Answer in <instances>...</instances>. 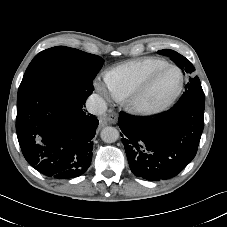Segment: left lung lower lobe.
Segmentation results:
<instances>
[{"label": "left lung lower lobe", "mask_w": 227, "mask_h": 227, "mask_svg": "<svg viewBox=\"0 0 227 227\" xmlns=\"http://www.w3.org/2000/svg\"><path fill=\"white\" fill-rule=\"evenodd\" d=\"M205 102L178 101L152 116L120 113L119 127L131 171L151 181L169 179L195 157L204 128Z\"/></svg>", "instance_id": "left-lung-lower-lobe-1"}]
</instances>
